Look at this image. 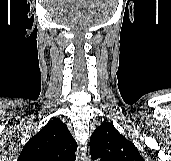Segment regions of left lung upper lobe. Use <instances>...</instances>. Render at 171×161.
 <instances>
[{
	"label": "left lung upper lobe",
	"instance_id": "obj_1",
	"mask_svg": "<svg viewBox=\"0 0 171 161\" xmlns=\"http://www.w3.org/2000/svg\"><path fill=\"white\" fill-rule=\"evenodd\" d=\"M93 160L144 161L134 144L125 139L111 123L101 124L90 139Z\"/></svg>",
	"mask_w": 171,
	"mask_h": 161
}]
</instances>
